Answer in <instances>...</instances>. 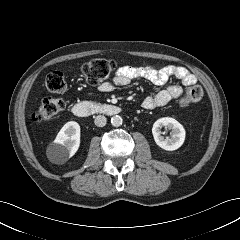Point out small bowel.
I'll return each mask as SVG.
<instances>
[{"label":"small bowel","mask_w":240,"mask_h":240,"mask_svg":"<svg viewBox=\"0 0 240 240\" xmlns=\"http://www.w3.org/2000/svg\"><path fill=\"white\" fill-rule=\"evenodd\" d=\"M172 77L179 79L182 85L188 87L195 85L197 82L196 76L182 66H122L117 70L114 78L111 81L104 82L99 86V90L101 92H111L117 87L129 85L132 80L138 78L145 79L157 86H164V88L156 95L148 96L143 100V109L152 110L164 106L178 99L182 95L183 89L180 85L170 84L168 82Z\"/></svg>","instance_id":"small-bowel-1"}]
</instances>
